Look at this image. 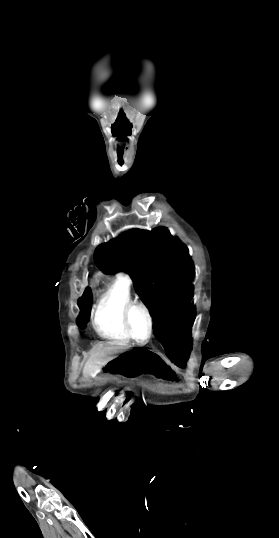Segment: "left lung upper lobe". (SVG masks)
I'll return each instance as SVG.
<instances>
[{"label": "left lung upper lobe", "instance_id": "obj_1", "mask_svg": "<svg viewBox=\"0 0 279 538\" xmlns=\"http://www.w3.org/2000/svg\"><path fill=\"white\" fill-rule=\"evenodd\" d=\"M94 260L105 274L125 271L131 276L136 292L153 315L154 333H190L195 319L191 304L194 266L187 247L167 228L124 232L101 244Z\"/></svg>", "mask_w": 279, "mask_h": 538}]
</instances>
